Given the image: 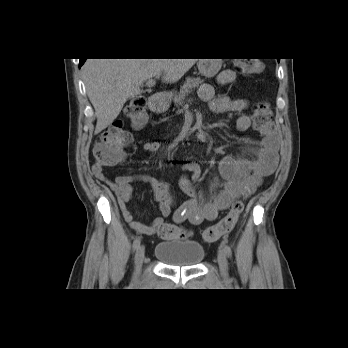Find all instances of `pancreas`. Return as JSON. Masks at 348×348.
<instances>
[{
  "label": "pancreas",
  "mask_w": 348,
  "mask_h": 348,
  "mask_svg": "<svg viewBox=\"0 0 348 348\" xmlns=\"http://www.w3.org/2000/svg\"><path fill=\"white\" fill-rule=\"evenodd\" d=\"M204 82L201 78H187L183 86L180 88V92L174 98V104L177 108L184 104L185 98L191 91L197 88Z\"/></svg>",
  "instance_id": "pancreas-1"
}]
</instances>
